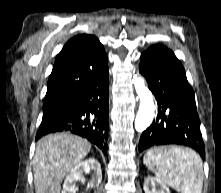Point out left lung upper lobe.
<instances>
[{
	"label": "left lung upper lobe",
	"instance_id": "left-lung-upper-lobe-1",
	"mask_svg": "<svg viewBox=\"0 0 221 193\" xmlns=\"http://www.w3.org/2000/svg\"><path fill=\"white\" fill-rule=\"evenodd\" d=\"M175 120H176L175 117L172 116L171 119H170V121H169V122L172 124V126H175V125H174V121H175Z\"/></svg>",
	"mask_w": 221,
	"mask_h": 193
}]
</instances>
